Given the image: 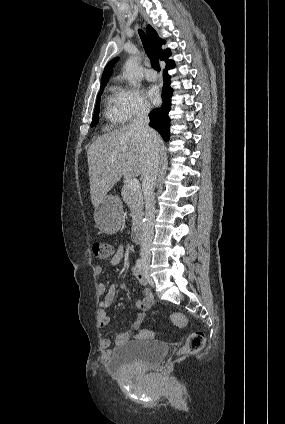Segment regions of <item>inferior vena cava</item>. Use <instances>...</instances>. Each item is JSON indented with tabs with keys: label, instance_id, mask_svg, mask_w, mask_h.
<instances>
[{
	"label": "inferior vena cava",
	"instance_id": "602c4592",
	"mask_svg": "<svg viewBox=\"0 0 285 424\" xmlns=\"http://www.w3.org/2000/svg\"><path fill=\"white\" fill-rule=\"evenodd\" d=\"M150 109L147 105H142L133 120L131 127L143 135L147 145L148 161L146 170L142 176V188L145 200V223L143 226V237L140 249L142 260L150 261L154 235L155 219V186L159 170V147L155 142L156 132L149 127L148 114Z\"/></svg>",
	"mask_w": 285,
	"mask_h": 424
}]
</instances>
